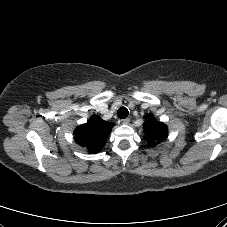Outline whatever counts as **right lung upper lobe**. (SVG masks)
Here are the masks:
<instances>
[{
    "instance_id": "obj_1",
    "label": "right lung upper lobe",
    "mask_w": 227,
    "mask_h": 227,
    "mask_svg": "<svg viewBox=\"0 0 227 227\" xmlns=\"http://www.w3.org/2000/svg\"><path fill=\"white\" fill-rule=\"evenodd\" d=\"M113 126V123L93 115L86 124L74 130L75 141L85 147L89 153H98L104 147Z\"/></svg>"
}]
</instances>
